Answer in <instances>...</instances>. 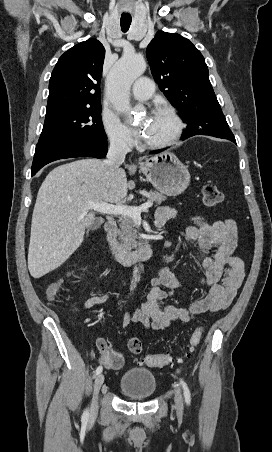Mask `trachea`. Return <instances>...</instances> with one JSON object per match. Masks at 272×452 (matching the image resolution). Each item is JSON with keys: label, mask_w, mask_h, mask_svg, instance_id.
<instances>
[{"label": "trachea", "mask_w": 272, "mask_h": 452, "mask_svg": "<svg viewBox=\"0 0 272 452\" xmlns=\"http://www.w3.org/2000/svg\"><path fill=\"white\" fill-rule=\"evenodd\" d=\"M132 18L130 15H122L120 25L123 32H127L131 25Z\"/></svg>", "instance_id": "3493384b"}]
</instances>
